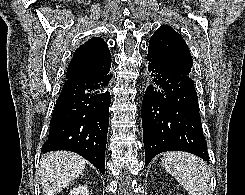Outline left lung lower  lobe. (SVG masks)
I'll list each match as a JSON object with an SVG mask.
<instances>
[{"label":"left lung lower lobe","instance_id":"1","mask_svg":"<svg viewBox=\"0 0 245 195\" xmlns=\"http://www.w3.org/2000/svg\"><path fill=\"white\" fill-rule=\"evenodd\" d=\"M147 60L153 84L142 102L145 165L165 151L190 152L209 163L194 82Z\"/></svg>","mask_w":245,"mask_h":195}]
</instances>
